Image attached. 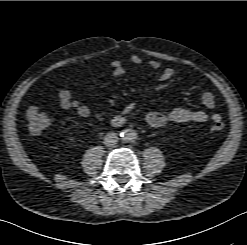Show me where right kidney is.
<instances>
[{"label": "right kidney", "mask_w": 247, "mask_h": 245, "mask_svg": "<svg viewBox=\"0 0 247 245\" xmlns=\"http://www.w3.org/2000/svg\"><path fill=\"white\" fill-rule=\"evenodd\" d=\"M74 140H75V137H70L69 138V142H74Z\"/></svg>", "instance_id": "1"}]
</instances>
